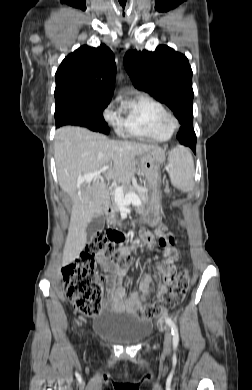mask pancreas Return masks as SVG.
<instances>
[{
	"label": "pancreas",
	"instance_id": "cf45deb5",
	"mask_svg": "<svg viewBox=\"0 0 252 390\" xmlns=\"http://www.w3.org/2000/svg\"><path fill=\"white\" fill-rule=\"evenodd\" d=\"M112 201H113V206L115 208H118L117 203L114 201L113 195H112ZM148 202V197H143V200L141 202H137V205H140L139 207L136 208V211L140 214L144 212V205Z\"/></svg>",
	"mask_w": 252,
	"mask_h": 390
}]
</instances>
